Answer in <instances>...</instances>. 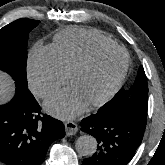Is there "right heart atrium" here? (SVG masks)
Segmentation results:
<instances>
[{
  "label": "right heart atrium",
  "mask_w": 165,
  "mask_h": 165,
  "mask_svg": "<svg viewBox=\"0 0 165 165\" xmlns=\"http://www.w3.org/2000/svg\"><path fill=\"white\" fill-rule=\"evenodd\" d=\"M27 73L29 85L39 97L48 96L67 81V73L48 46L33 47L29 54Z\"/></svg>",
  "instance_id": "right-heart-atrium-1"
}]
</instances>
